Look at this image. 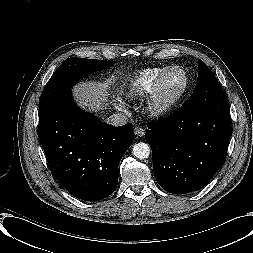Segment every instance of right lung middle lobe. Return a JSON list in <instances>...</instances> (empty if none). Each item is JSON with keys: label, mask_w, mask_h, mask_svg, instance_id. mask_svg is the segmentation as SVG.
I'll return each mask as SVG.
<instances>
[{"label": "right lung middle lobe", "mask_w": 253, "mask_h": 253, "mask_svg": "<svg viewBox=\"0 0 253 253\" xmlns=\"http://www.w3.org/2000/svg\"><path fill=\"white\" fill-rule=\"evenodd\" d=\"M113 63L74 57L65 60L44 87L39 104V116L47 112L58 98L70 92V88L81 76L110 67Z\"/></svg>", "instance_id": "obj_1"}]
</instances>
